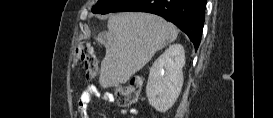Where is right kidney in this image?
<instances>
[{
	"label": "right kidney",
	"mask_w": 273,
	"mask_h": 118,
	"mask_svg": "<svg viewBox=\"0 0 273 118\" xmlns=\"http://www.w3.org/2000/svg\"><path fill=\"white\" fill-rule=\"evenodd\" d=\"M185 51L181 44L170 45L150 68L146 95L149 104L165 112L177 100L183 85Z\"/></svg>",
	"instance_id": "right-kidney-1"
}]
</instances>
